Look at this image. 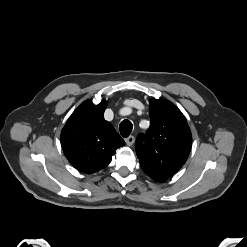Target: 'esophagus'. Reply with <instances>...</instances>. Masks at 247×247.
Wrapping results in <instances>:
<instances>
[{
	"instance_id": "obj_1",
	"label": "esophagus",
	"mask_w": 247,
	"mask_h": 247,
	"mask_svg": "<svg viewBox=\"0 0 247 247\" xmlns=\"http://www.w3.org/2000/svg\"><path fill=\"white\" fill-rule=\"evenodd\" d=\"M134 141H135L134 136H129V137H127V138L125 139V142H126V144H127L128 146H132L133 143H134Z\"/></svg>"
}]
</instances>
